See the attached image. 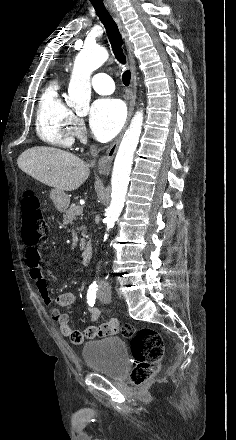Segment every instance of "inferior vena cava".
I'll return each instance as SVG.
<instances>
[{
	"mask_svg": "<svg viewBox=\"0 0 236 440\" xmlns=\"http://www.w3.org/2000/svg\"><path fill=\"white\" fill-rule=\"evenodd\" d=\"M90 151H91V154H92V156L94 158L97 157L98 149H97V147L95 145L91 146ZM94 163H95V159L91 162V165H94ZM98 286H99V288L108 286V282L101 280V281L98 282Z\"/></svg>",
	"mask_w": 236,
	"mask_h": 440,
	"instance_id": "602c4592",
	"label": "inferior vena cava"
}]
</instances>
